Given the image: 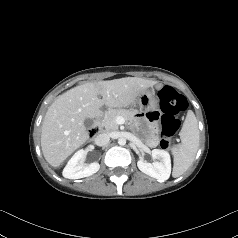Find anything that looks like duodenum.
I'll use <instances>...</instances> for the list:
<instances>
[{"mask_svg":"<svg viewBox=\"0 0 238 238\" xmlns=\"http://www.w3.org/2000/svg\"><path fill=\"white\" fill-rule=\"evenodd\" d=\"M101 117H102V112H99L95 118L93 127L90 132L92 136L96 135L99 131Z\"/></svg>","mask_w":238,"mask_h":238,"instance_id":"410a0bca","label":"duodenum"}]
</instances>
